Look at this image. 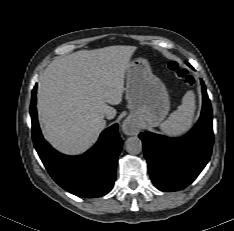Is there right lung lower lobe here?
Returning a JSON list of instances; mask_svg holds the SVG:
<instances>
[{"instance_id":"right-lung-lower-lobe-1","label":"right lung lower lobe","mask_w":234,"mask_h":231,"mask_svg":"<svg viewBox=\"0 0 234 231\" xmlns=\"http://www.w3.org/2000/svg\"><path fill=\"white\" fill-rule=\"evenodd\" d=\"M34 146L50 176L65 190L80 197L107 194L116 177V164L122 147L118 124L105 129L98 142L80 156H66L54 150L42 137L36 112V86L30 107Z\"/></svg>"}]
</instances>
